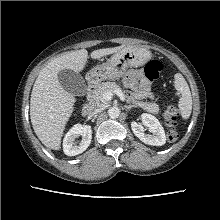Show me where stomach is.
<instances>
[{
    "instance_id": "obj_1",
    "label": "stomach",
    "mask_w": 220,
    "mask_h": 220,
    "mask_svg": "<svg viewBox=\"0 0 220 220\" xmlns=\"http://www.w3.org/2000/svg\"><path fill=\"white\" fill-rule=\"evenodd\" d=\"M151 58V52L139 46H125L113 54L105 63L91 69L86 79L91 86L97 87L104 80L121 78L129 67H139Z\"/></svg>"
}]
</instances>
